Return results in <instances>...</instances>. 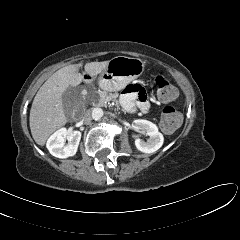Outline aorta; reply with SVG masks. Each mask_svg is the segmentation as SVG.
I'll list each match as a JSON object with an SVG mask.
<instances>
[{
	"label": "aorta",
	"mask_w": 240,
	"mask_h": 240,
	"mask_svg": "<svg viewBox=\"0 0 240 240\" xmlns=\"http://www.w3.org/2000/svg\"><path fill=\"white\" fill-rule=\"evenodd\" d=\"M103 117V110L101 108H94L92 110V118L94 120H100Z\"/></svg>",
	"instance_id": "aorta-1"
}]
</instances>
